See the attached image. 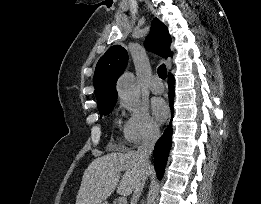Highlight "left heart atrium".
Masks as SVG:
<instances>
[{"label": "left heart atrium", "mask_w": 261, "mask_h": 204, "mask_svg": "<svg viewBox=\"0 0 261 204\" xmlns=\"http://www.w3.org/2000/svg\"><path fill=\"white\" fill-rule=\"evenodd\" d=\"M152 111L157 120L163 122L169 116V108L166 102L161 98H154L152 100Z\"/></svg>", "instance_id": "left-heart-atrium-1"}]
</instances>
